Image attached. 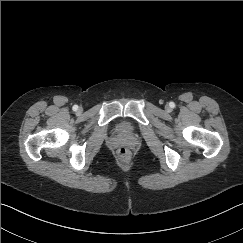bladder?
Segmentation results:
<instances>
[{"instance_id": "obj_1", "label": "bladder", "mask_w": 243, "mask_h": 243, "mask_svg": "<svg viewBox=\"0 0 243 243\" xmlns=\"http://www.w3.org/2000/svg\"><path fill=\"white\" fill-rule=\"evenodd\" d=\"M117 130L120 134H123V135H127L132 132L129 124L125 120H121L119 122V124L117 126Z\"/></svg>"}]
</instances>
